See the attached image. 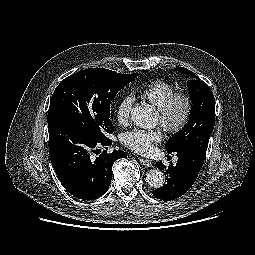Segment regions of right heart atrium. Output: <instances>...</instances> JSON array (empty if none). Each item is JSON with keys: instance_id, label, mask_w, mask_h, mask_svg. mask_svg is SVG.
<instances>
[{"instance_id": "1", "label": "right heart atrium", "mask_w": 255, "mask_h": 255, "mask_svg": "<svg viewBox=\"0 0 255 255\" xmlns=\"http://www.w3.org/2000/svg\"><path fill=\"white\" fill-rule=\"evenodd\" d=\"M133 106V98L130 95L124 96L116 107V118L118 122L125 123L128 121Z\"/></svg>"}]
</instances>
